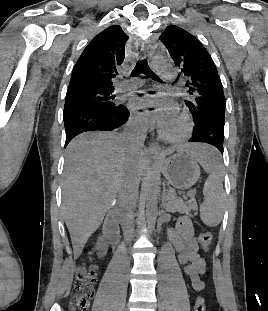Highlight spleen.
Here are the masks:
<instances>
[{"instance_id": "3e777b00", "label": "spleen", "mask_w": 268, "mask_h": 311, "mask_svg": "<svg viewBox=\"0 0 268 311\" xmlns=\"http://www.w3.org/2000/svg\"><path fill=\"white\" fill-rule=\"evenodd\" d=\"M191 145L195 151L194 158L209 174L203 188L204 201L200 205V217L205 225L216 227L222 220L225 205L221 157L216 148L204 144L203 140H192Z\"/></svg>"}]
</instances>
